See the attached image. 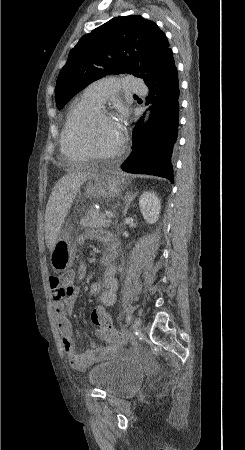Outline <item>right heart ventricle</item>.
Returning <instances> with one entry per match:
<instances>
[{"label": "right heart ventricle", "mask_w": 245, "mask_h": 450, "mask_svg": "<svg viewBox=\"0 0 245 450\" xmlns=\"http://www.w3.org/2000/svg\"><path fill=\"white\" fill-rule=\"evenodd\" d=\"M99 108L84 93L73 100L61 131L60 148L63 155L75 161L89 159L83 145V131L88 117Z\"/></svg>", "instance_id": "1"}]
</instances>
